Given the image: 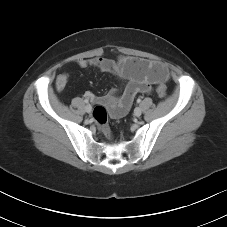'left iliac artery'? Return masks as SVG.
Returning <instances> with one entry per match:
<instances>
[{
  "mask_svg": "<svg viewBox=\"0 0 227 227\" xmlns=\"http://www.w3.org/2000/svg\"><path fill=\"white\" fill-rule=\"evenodd\" d=\"M140 102H141V99H140V98H138V99H137V103H140Z\"/></svg>",
  "mask_w": 227,
  "mask_h": 227,
  "instance_id": "left-iliac-artery-1",
  "label": "left iliac artery"
}]
</instances>
